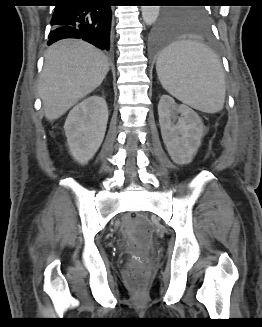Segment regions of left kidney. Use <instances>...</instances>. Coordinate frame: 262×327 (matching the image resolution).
Listing matches in <instances>:
<instances>
[{
    "label": "left kidney",
    "instance_id": "5707ae66",
    "mask_svg": "<svg viewBox=\"0 0 262 327\" xmlns=\"http://www.w3.org/2000/svg\"><path fill=\"white\" fill-rule=\"evenodd\" d=\"M181 114L177 123L176 114ZM161 135L171 159L178 165L192 162L204 136L199 115L187 105H178L169 95H162L158 104Z\"/></svg>",
    "mask_w": 262,
    "mask_h": 327
}]
</instances>
